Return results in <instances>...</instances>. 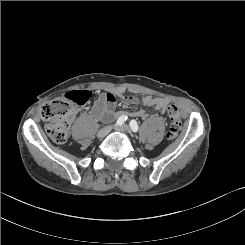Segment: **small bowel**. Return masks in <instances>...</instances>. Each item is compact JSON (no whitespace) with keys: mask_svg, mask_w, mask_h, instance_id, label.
Here are the masks:
<instances>
[{"mask_svg":"<svg viewBox=\"0 0 245 245\" xmlns=\"http://www.w3.org/2000/svg\"><path fill=\"white\" fill-rule=\"evenodd\" d=\"M123 100L127 104H137L138 99L133 96H124ZM115 97L111 93L101 94L91 109V116L94 119H103L108 117L115 108ZM169 101L162 97H155L147 95L143 97L142 104L146 107H152L158 111H164ZM132 115L141 117L143 119L147 118L148 115L143 109L136 110L132 112Z\"/></svg>","mask_w":245,"mask_h":245,"instance_id":"1","label":"small bowel"}]
</instances>
